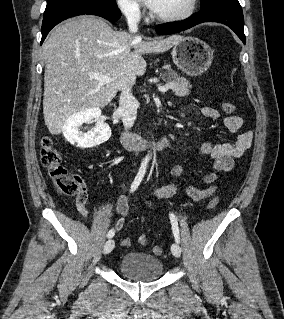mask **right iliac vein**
Masks as SVG:
<instances>
[{"mask_svg": "<svg viewBox=\"0 0 284 319\" xmlns=\"http://www.w3.org/2000/svg\"><path fill=\"white\" fill-rule=\"evenodd\" d=\"M114 246H115L114 240L113 239H109L104 245L103 253L104 254H109L113 250Z\"/></svg>", "mask_w": 284, "mask_h": 319, "instance_id": "63e3f726", "label": "right iliac vein"}]
</instances>
